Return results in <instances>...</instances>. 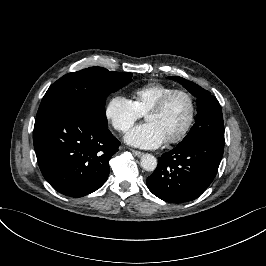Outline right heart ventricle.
Segmentation results:
<instances>
[{
  "label": "right heart ventricle",
  "mask_w": 266,
  "mask_h": 266,
  "mask_svg": "<svg viewBox=\"0 0 266 266\" xmlns=\"http://www.w3.org/2000/svg\"><path fill=\"white\" fill-rule=\"evenodd\" d=\"M172 89H174V87L163 83H148L134 88L131 93V100L133 101L136 109L141 114H144L150 106L160 99L161 96Z\"/></svg>",
  "instance_id": "e07e8e85"
}]
</instances>
